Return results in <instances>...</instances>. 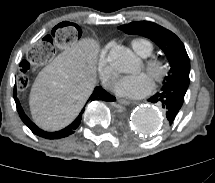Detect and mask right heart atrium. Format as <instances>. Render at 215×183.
I'll return each mask as SVG.
<instances>
[{"label":"right heart atrium","instance_id":"right-heart-atrium-1","mask_svg":"<svg viewBox=\"0 0 215 183\" xmlns=\"http://www.w3.org/2000/svg\"><path fill=\"white\" fill-rule=\"evenodd\" d=\"M108 46H106L100 56H99V63H98V71L100 74V77L102 79L103 84L107 88H112L114 85V81L116 79V73L112 69L111 65L109 64L107 52H108Z\"/></svg>","mask_w":215,"mask_h":183}]
</instances>
